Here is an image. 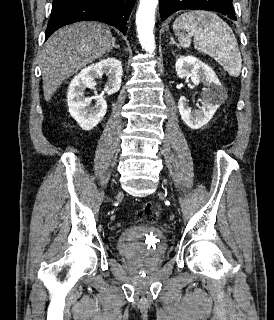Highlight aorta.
<instances>
[{
  "mask_svg": "<svg viewBox=\"0 0 274 320\" xmlns=\"http://www.w3.org/2000/svg\"><path fill=\"white\" fill-rule=\"evenodd\" d=\"M157 4L158 0H140L136 13L138 38L142 48L149 53H153L155 50L153 29Z\"/></svg>",
  "mask_w": 274,
  "mask_h": 320,
  "instance_id": "obj_1",
  "label": "aorta"
}]
</instances>
